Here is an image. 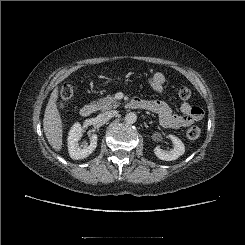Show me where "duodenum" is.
I'll return each mask as SVG.
<instances>
[{
    "label": "duodenum",
    "instance_id": "duodenum-1",
    "mask_svg": "<svg viewBox=\"0 0 245 245\" xmlns=\"http://www.w3.org/2000/svg\"><path fill=\"white\" fill-rule=\"evenodd\" d=\"M144 105L141 100H133L127 104L128 108H142ZM95 111V107L91 104H86L80 109V115L82 117H90Z\"/></svg>",
    "mask_w": 245,
    "mask_h": 245
}]
</instances>
